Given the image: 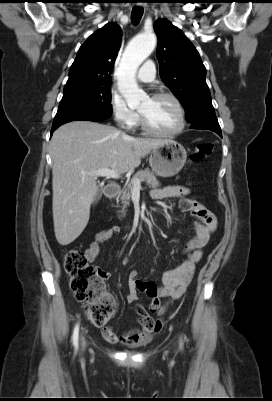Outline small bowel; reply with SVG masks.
Wrapping results in <instances>:
<instances>
[{"instance_id":"obj_1","label":"small bowel","mask_w":272,"mask_h":401,"mask_svg":"<svg viewBox=\"0 0 272 401\" xmlns=\"http://www.w3.org/2000/svg\"><path fill=\"white\" fill-rule=\"evenodd\" d=\"M189 193L190 191L187 187L175 185L157 188L152 191V196L156 199L179 198V208L184 212H189L195 219V235L185 246L184 251L187 257L179 266L164 273L162 285L158 286L152 282L139 280L136 270L129 273L127 281L128 293L126 295L128 303L136 302L138 300L139 291H145L151 297V311L161 314L164 311V307L161 305L162 298L170 297L172 299H179L185 293L193 276L196 264L202 258V249L208 243L211 234L217 227L215 215L198 201L189 198ZM120 231L121 229L119 226H112L97 232L93 241L85 250L87 260L89 262L95 261L101 249V245L118 235ZM99 271L103 278L109 277V272L101 271L100 269ZM138 320L141 324L140 329L127 331L122 334H117L109 330L106 334L104 333V336L110 342L116 343L120 340L128 345H139L147 342L150 337L161 328V322L157 324V326L148 324L144 321V316L138 315Z\"/></svg>"}]
</instances>
